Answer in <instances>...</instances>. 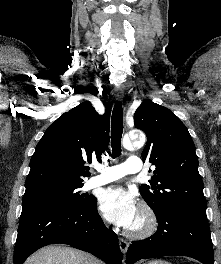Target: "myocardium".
<instances>
[{
    "mask_svg": "<svg viewBox=\"0 0 221 264\" xmlns=\"http://www.w3.org/2000/svg\"><path fill=\"white\" fill-rule=\"evenodd\" d=\"M139 223L129 228L127 233L132 238H146L154 234L158 228V219L154 210L147 204H141Z\"/></svg>",
    "mask_w": 221,
    "mask_h": 264,
    "instance_id": "myocardium-1",
    "label": "myocardium"
}]
</instances>
